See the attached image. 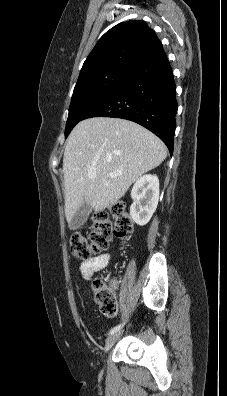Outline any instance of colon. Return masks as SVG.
Masks as SVG:
<instances>
[{
  "label": "colon",
  "instance_id": "1",
  "mask_svg": "<svg viewBox=\"0 0 227 396\" xmlns=\"http://www.w3.org/2000/svg\"><path fill=\"white\" fill-rule=\"evenodd\" d=\"M132 230L131 218L126 213L124 205L117 202L110 207L108 212H101L95 217L92 231L88 237L79 234L71 237L72 255L79 260H90L97 253L106 250L114 236L120 240H125ZM92 291L94 300L101 312L108 317L115 316L117 301L113 287L97 278L92 282Z\"/></svg>",
  "mask_w": 227,
  "mask_h": 396
}]
</instances>
